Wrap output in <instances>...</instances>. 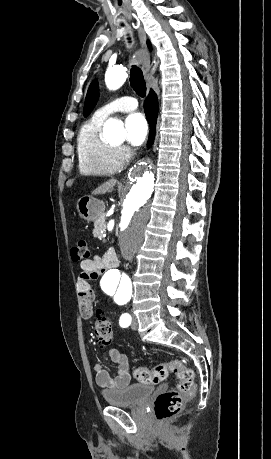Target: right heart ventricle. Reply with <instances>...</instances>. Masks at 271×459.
Listing matches in <instances>:
<instances>
[{
    "mask_svg": "<svg viewBox=\"0 0 271 459\" xmlns=\"http://www.w3.org/2000/svg\"><path fill=\"white\" fill-rule=\"evenodd\" d=\"M102 123L103 120L92 116L79 129L76 148L78 170L82 175H109L122 166L116 146L100 136Z\"/></svg>",
    "mask_w": 271,
    "mask_h": 459,
    "instance_id": "right-heart-ventricle-1",
    "label": "right heart ventricle"
}]
</instances>
